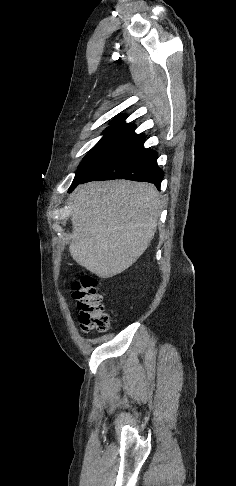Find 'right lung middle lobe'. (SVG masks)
<instances>
[{
    "label": "right lung middle lobe",
    "mask_w": 236,
    "mask_h": 486,
    "mask_svg": "<svg viewBox=\"0 0 236 486\" xmlns=\"http://www.w3.org/2000/svg\"><path fill=\"white\" fill-rule=\"evenodd\" d=\"M134 130L135 126L107 128L104 131L103 138L81 162L69 192H71L92 170L133 139L136 136Z\"/></svg>",
    "instance_id": "1"
}]
</instances>
